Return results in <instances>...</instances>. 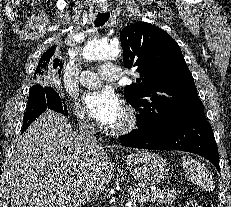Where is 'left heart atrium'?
Returning <instances> with one entry per match:
<instances>
[{
	"label": "left heart atrium",
	"mask_w": 231,
	"mask_h": 207,
	"mask_svg": "<svg viewBox=\"0 0 231 207\" xmlns=\"http://www.w3.org/2000/svg\"><path fill=\"white\" fill-rule=\"evenodd\" d=\"M83 102L90 115L103 125L111 126L124 114L122 100L109 89L88 93L84 96Z\"/></svg>",
	"instance_id": "obj_1"
}]
</instances>
